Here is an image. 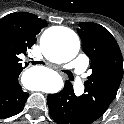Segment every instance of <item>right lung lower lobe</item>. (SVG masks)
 <instances>
[{
	"mask_svg": "<svg viewBox=\"0 0 124 124\" xmlns=\"http://www.w3.org/2000/svg\"><path fill=\"white\" fill-rule=\"evenodd\" d=\"M29 93L23 92L18 78L0 82V118H8L23 110Z\"/></svg>",
	"mask_w": 124,
	"mask_h": 124,
	"instance_id": "right-lung-lower-lobe-1",
	"label": "right lung lower lobe"
}]
</instances>
